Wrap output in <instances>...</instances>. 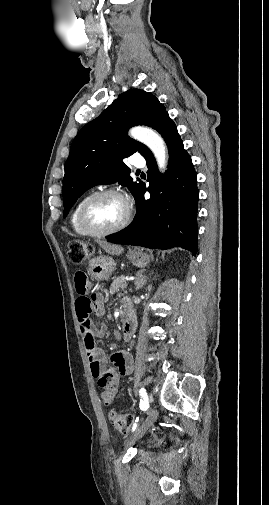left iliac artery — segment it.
Instances as JSON below:
<instances>
[{"label": "left iliac artery", "instance_id": "44dca946", "mask_svg": "<svg viewBox=\"0 0 269 505\" xmlns=\"http://www.w3.org/2000/svg\"><path fill=\"white\" fill-rule=\"evenodd\" d=\"M139 394L141 396V400H140V409L142 411L146 410L148 407H149V402H148V395H147V392L144 388H141L139 390ZM139 421V417L136 418L133 426H132V431H135L136 427H137V423Z\"/></svg>", "mask_w": 269, "mask_h": 505}]
</instances>
